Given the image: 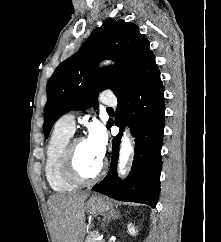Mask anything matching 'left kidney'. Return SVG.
<instances>
[{
  "label": "left kidney",
  "mask_w": 221,
  "mask_h": 242,
  "mask_svg": "<svg viewBox=\"0 0 221 242\" xmlns=\"http://www.w3.org/2000/svg\"><path fill=\"white\" fill-rule=\"evenodd\" d=\"M128 228V233L132 236H136L137 235V230L135 229L134 225H132V223L128 224L127 226Z\"/></svg>",
  "instance_id": "1"
}]
</instances>
